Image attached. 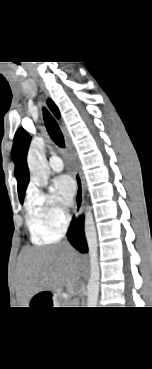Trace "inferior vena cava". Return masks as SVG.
<instances>
[{
    "label": "inferior vena cava",
    "mask_w": 152,
    "mask_h": 369,
    "mask_svg": "<svg viewBox=\"0 0 152 369\" xmlns=\"http://www.w3.org/2000/svg\"><path fill=\"white\" fill-rule=\"evenodd\" d=\"M62 244L66 245V246H70L67 241L63 242Z\"/></svg>",
    "instance_id": "1"
}]
</instances>
